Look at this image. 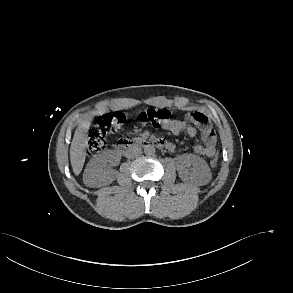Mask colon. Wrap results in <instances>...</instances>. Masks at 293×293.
Masks as SVG:
<instances>
[{"instance_id": "5ec220e1", "label": "colon", "mask_w": 293, "mask_h": 293, "mask_svg": "<svg viewBox=\"0 0 293 293\" xmlns=\"http://www.w3.org/2000/svg\"><path fill=\"white\" fill-rule=\"evenodd\" d=\"M172 111L164 108H149L139 113V121L150 127H160L165 125L171 118ZM188 118L201 123L203 117L197 113L188 114ZM125 116L122 113H106L100 116L89 132L87 142V152L95 155L101 152L106 146V137L110 132H116L123 124ZM218 156H214L211 166L217 165Z\"/></svg>"}]
</instances>
